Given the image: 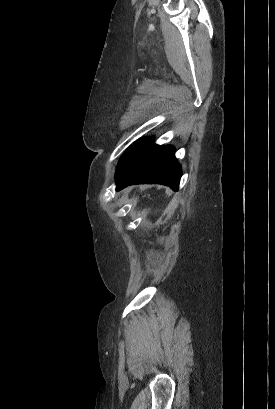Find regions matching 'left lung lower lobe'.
Instances as JSON below:
<instances>
[{
  "label": "left lung lower lobe",
  "instance_id": "1",
  "mask_svg": "<svg viewBox=\"0 0 275 409\" xmlns=\"http://www.w3.org/2000/svg\"><path fill=\"white\" fill-rule=\"evenodd\" d=\"M174 154L173 146L156 145L152 137L137 141L129 152L122 172L116 178V190L140 183H158L178 190L182 172Z\"/></svg>",
  "mask_w": 275,
  "mask_h": 409
}]
</instances>
